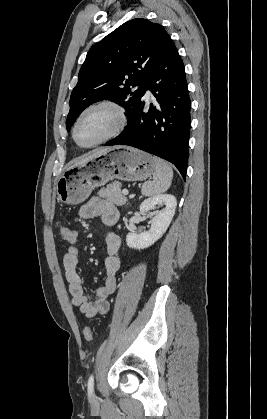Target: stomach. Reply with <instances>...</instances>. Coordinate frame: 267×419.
Here are the masks:
<instances>
[{"label":"stomach","instance_id":"stomach-1","mask_svg":"<svg viewBox=\"0 0 267 419\" xmlns=\"http://www.w3.org/2000/svg\"><path fill=\"white\" fill-rule=\"evenodd\" d=\"M154 170L151 155L128 146H116L68 168L58 179L56 192L61 202L76 205L84 202L94 188L110 180L143 181Z\"/></svg>","mask_w":267,"mask_h":419}]
</instances>
